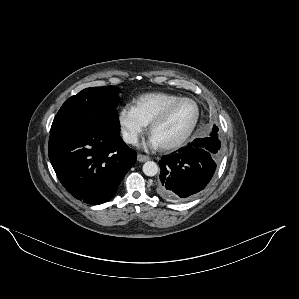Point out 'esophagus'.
Here are the masks:
<instances>
[{"instance_id": "1", "label": "esophagus", "mask_w": 299, "mask_h": 299, "mask_svg": "<svg viewBox=\"0 0 299 299\" xmlns=\"http://www.w3.org/2000/svg\"><path fill=\"white\" fill-rule=\"evenodd\" d=\"M137 160H138L139 162H145V161L150 160V157L147 156V155L138 154V155H137Z\"/></svg>"}]
</instances>
